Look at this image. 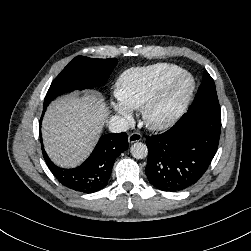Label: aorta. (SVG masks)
<instances>
[{"instance_id": "obj_1", "label": "aorta", "mask_w": 251, "mask_h": 251, "mask_svg": "<svg viewBox=\"0 0 251 251\" xmlns=\"http://www.w3.org/2000/svg\"><path fill=\"white\" fill-rule=\"evenodd\" d=\"M130 152L134 158L143 159L148 155V148L146 144L136 142L131 146Z\"/></svg>"}]
</instances>
